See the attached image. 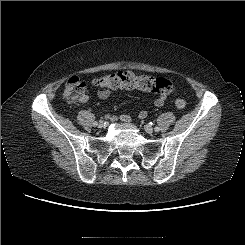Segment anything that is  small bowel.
Masks as SVG:
<instances>
[{"instance_id": "small-bowel-1", "label": "small bowel", "mask_w": 245, "mask_h": 245, "mask_svg": "<svg viewBox=\"0 0 245 245\" xmlns=\"http://www.w3.org/2000/svg\"><path fill=\"white\" fill-rule=\"evenodd\" d=\"M97 95L100 99H107L110 96V91H104V90H98ZM88 97L85 95V97L83 98L82 102L87 101ZM166 101V96H160L159 98H157L154 101V104L156 107H161L164 105ZM148 116V111L143 109L139 112L138 117L140 119H145ZM120 119L124 122H131V118L129 115L123 114L120 116Z\"/></svg>"}]
</instances>
